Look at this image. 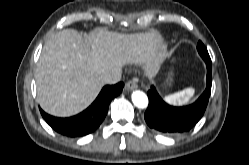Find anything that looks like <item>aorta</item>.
<instances>
[{
	"mask_svg": "<svg viewBox=\"0 0 249 165\" xmlns=\"http://www.w3.org/2000/svg\"><path fill=\"white\" fill-rule=\"evenodd\" d=\"M132 102L138 108H146L148 106V97L147 95L140 91L136 90L132 93Z\"/></svg>",
	"mask_w": 249,
	"mask_h": 165,
	"instance_id": "aorta-1",
	"label": "aorta"
}]
</instances>
